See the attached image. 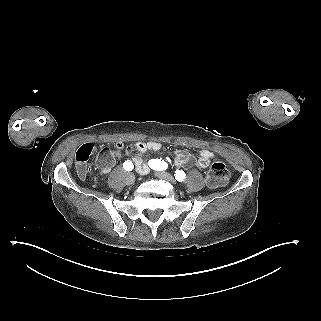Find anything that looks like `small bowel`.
Masks as SVG:
<instances>
[{"instance_id": "c3829d8e", "label": "small bowel", "mask_w": 321, "mask_h": 321, "mask_svg": "<svg viewBox=\"0 0 321 321\" xmlns=\"http://www.w3.org/2000/svg\"><path fill=\"white\" fill-rule=\"evenodd\" d=\"M134 149L138 154L133 158V163L136 170L142 174L149 171V159H146L144 155L148 151L159 152L162 149V145L157 141L148 142H136L134 143ZM95 145L92 142H87L80 147L76 154L77 157L84 156L86 161L88 157L94 152ZM126 154V148L122 142L116 143L115 151H110L103 147L100 149V155L97 161V166L102 174L108 175L111 172L112 167L116 163V159ZM215 154L209 150H201L196 157L185 150H177L174 152V162L180 167H192L196 166L200 169H204L208 166L210 160L214 158ZM81 178H85L84 175H80Z\"/></svg>"}]
</instances>
